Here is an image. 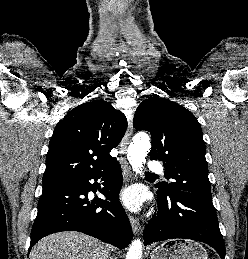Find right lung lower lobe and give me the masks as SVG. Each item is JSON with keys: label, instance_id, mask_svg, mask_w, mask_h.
<instances>
[{"label": "right lung lower lobe", "instance_id": "obj_1", "mask_svg": "<svg viewBox=\"0 0 248 259\" xmlns=\"http://www.w3.org/2000/svg\"><path fill=\"white\" fill-rule=\"evenodd\" d=\"M91 179L103 181L105 187L100 192L110 202L88 200V192L99 188V183L89 182ZM121 185L116 160L104 171L43 185L29 250L39 239L60 231L83 232L124 249L132 239V229L118 199Z\"/></svg>", "mask_w": 248, "mask_h": 259}]
</instances>
